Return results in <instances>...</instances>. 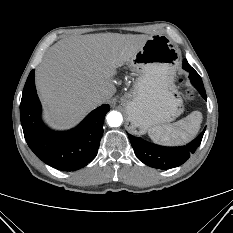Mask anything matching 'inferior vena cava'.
Returning a JSON list of instances; mask_svg holds the SVG:
<instances>
[{"label":"inferior vena cava","instance_id":"obj_1","mask_svg":"<svg viewBox=\"0 0 233 233\" xmlns=\"http://www.w3.org/2000/svg\"><path fill=\"white\" fill-rule=\"evenodd\" d=\"M94 99H95L96 101H101V100L103 99V95H101V94H96Z\"/></svg>","mask_w":233,"mask_h":233}]
</instances>
